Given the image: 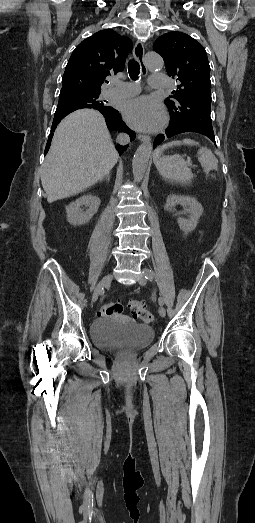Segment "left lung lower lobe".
<instances>
[{
    "instance_id": "left-lung-lower-lobe-1",
    "label": "left lung lower lobe",
    "mask_w": 255,
    "mask_h": 523,
    "mask_svg": "<svg viewBox=\"0 0 255 523\" xmlns=\"http://www.w3.org/2000/svg\"><path fill=\"white\" fill-rule=\"evenodd\" d=\"M183 130H193L197 132H201V135H204V132H206L207 137H210V140H215L216 134H210V132H207V130H203V127H198L196 125H176V127H169L163 130L161 132L160 137H156V140H154V143L152 144V147L154 149H157L159 146L163 144L162 140H167V137H175V135H181V132ZM165 133V134H164ZM212 144H215V141H212Z\"/></svg>"
}]
</instances>
